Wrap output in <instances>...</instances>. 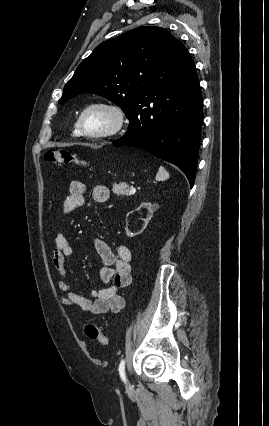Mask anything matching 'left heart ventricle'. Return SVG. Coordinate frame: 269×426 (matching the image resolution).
<instances>
[{"mask_svg": "<svg viewBox=\"0 0 269 426\" xmlns=\"http://www.w3.org/2000/svg\"><path fill=\"white\" fill-rule=\"evenodd\" d=\"M113 122L112 115L104 109H92L84 118V126L90 132L106 130Z\"/></svg>", "mask_w": 269, "mask_h": 426, "instance_id": "left-heart-ventricle-1", "label": "left heart ventricle"}]
</instances>
